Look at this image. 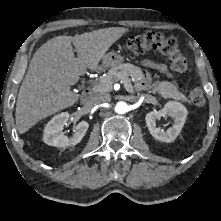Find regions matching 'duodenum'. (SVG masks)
I'll return each instance as SVG.
<instances>
[{"instance_id": "410a0bca", "label": "duodenum", "mask_w": 221, "mask_h": 221, "mask_svg": "<svg viewBox=\"0 0 221 221\" xmlns=\"http://www.w3.org/2000/svg\"><path fill=\"white\" fill-rule=\"evenodd\" d=\"M91 95H92V92L89 88H86L84 91H83V95H82V99L84 101H88L90 98H91Z\"/></svg>"}]
</instances>
